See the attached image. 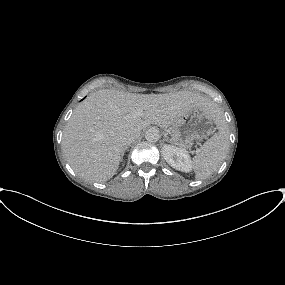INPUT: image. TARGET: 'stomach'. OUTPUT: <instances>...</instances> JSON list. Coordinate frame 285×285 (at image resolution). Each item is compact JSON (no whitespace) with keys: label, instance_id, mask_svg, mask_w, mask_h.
Listing matches in <instances>:
<instances>
[{"label":"stomach","instance_id":"1","mask_svg":"<svg viewBox=\"0 0 285 285\" xmlns=\"http://www.w3.org/2000/svg\"><path fill=\"white\" fill-rule=\"evenodd\" d=\"M211 113L200 107L193 108L178 123L170 127L171 143L191 148L194 142L207 137L214 129Z\"/></svg>","mask_w":285,"mask_h":285}]
</instances>
